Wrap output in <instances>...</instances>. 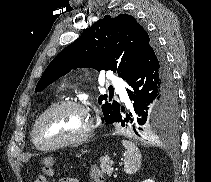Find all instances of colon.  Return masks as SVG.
Listing matches in <instances>:
<instances>
[{
  "label": "colon",
  "mask_w": 211,
  "mask_h": 182,
  "mask_svg": "<svg viewBox=\"0 0 211 182\" xmlns=\"http://www.w3.org/2000/svg\"><path fill=\"white\" fill-rule=\"evenodd\" d=\"M43 173L47 176H51L53 174V169L50 165H45L43 167ZM91 177L95 182H104V175L103 173L100 171V169L96 166H94L91 169ZM34 182H46L45 180V176L40 175L38 177H36V179L34 180Z\"/></svg>",
  "instance_id": "obj_1"
}]
</instances>
